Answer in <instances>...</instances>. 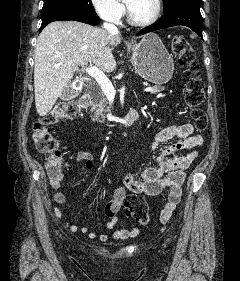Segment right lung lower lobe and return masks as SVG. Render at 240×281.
<instances>
[{
  "instance_id": "right-lung-lower-lobe-1",
  "label": "right lung lower lobe",
  "mask_w": 240,
  "mask_h": 281,
  "mask_svg": "<svg viewBox=\"0 0 240 281\" xmlns=\"http://www.w3.org/2000/svg\"><path fill=\"white\" fill-rule=\"evenodd\" d=\"M60 20H75L83 23H87L90 25H97L99 23V17L97 15L91 16V15H79L75 13H69V12H62L54 14L50 17H47L42 20V24L40 27V31L50 22L53 21H60Z\"/></svg>"
}]
</instances>
